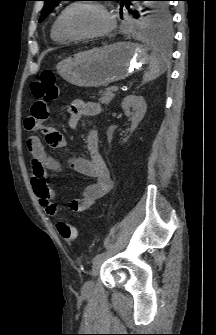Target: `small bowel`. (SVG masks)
Listing matches in <instances>:
<instances>
[{"label":"small bowel","instance_id":"c3829d8e","mask_svg":"<svg viewBox=\"0 0 216 335\" xmlns=\"http://www.w3.org/2000/svg\"><path fill=\"white\" fill-rule=\"evenodd\" d=\"M45 103L44 98H38L37 104H32L30 119L26 120L27 129L33 130V134L45 135L51 147L63 149L67 145L65 139L47 123V120H51L54 109L49 108ZM69 111L68 126L76 129L84 117L98 115L101 112V106L94 101L76 99L70 103ZM26 146L31 155L33 191L49 216H57L65 211L75 213L86 211L112 188L113 182L99 151V138L94 130H89L86 136V150L89 158L73 156L69 159L71 169L93 178L94 181L86 186L82 198L69 202L65 207L53 201L55 192L46 182L47 172L59 171V164L47 154L42 141L36 135L27 137Z\"/></svg>","mask_w":216,"mask_h":335}]
</instances>
